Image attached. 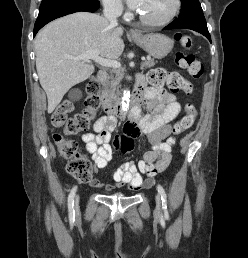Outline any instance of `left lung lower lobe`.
<instances>
[{
  "instance_id": "left-lung-lower-lobe-1",
  "label": "left lung lower lobe",
  "mask_w": 248,
  "mask_h": 258,
  "mask_svg": "<svg viewBox=\"0 0 248 258\" xmlns=\"http://www.w3.org/2000/svg\"><path fill=\"white\" fill-rule=\"evenodd\" d=\"M178 28L191 29V30L197 31L203 34L205 37H207L208 40L211 42V37L208 32L204 15L195 16L190 19L182 20V21H179L176 19L168 26H166L164 30L178 29Z\"/></svg>"
}]
</instances>
